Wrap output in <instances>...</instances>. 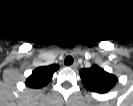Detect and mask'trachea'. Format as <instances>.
Wrapping results in <instances>:
<instances>
[{"label":"trachea","instance_id":"obj_1","mask_svg":"<svg viewBox=\"0 0 133 106\" xmlns=\"http://www.w3.org/2000/svg\"><path fill=\"white\" fill-rule=\"evenodd\" d=\"M73 58L71 56H67L64 60L65 65H71L73 63Z\"/></svg>","mask_w":133,"mask_h":106}]
</instances>
